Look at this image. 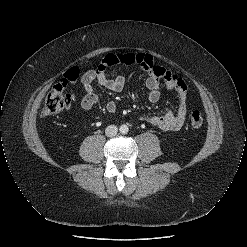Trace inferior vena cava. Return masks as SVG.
I'll return each mask as SVG.
<instances>
[{"label":"inferior vena cava","mask_w":247,"mask_h":247,"mask_svg":"<svg viewBox=\"0 0 247 247\" xmlns=\"http://www.w3.org/2000/svg\"><path fill=\"white\" fill-rule=\"evenodd\" d=\"M118 132V128L115 125H109L105 129V134L108 137H114Z\"/></svg>","instance_id":"obj_1"}]
</instances>
